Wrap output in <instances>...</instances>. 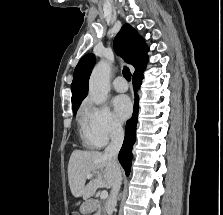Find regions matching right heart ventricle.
Instances as JSON below:
<instances>
[{"label":"right heart ventricle","instance_id":"e07e8e85","mask_svg":"<svg viewBox=\"0 0 223 215\" xmlns=\"http://www.w3.org/2000/svg\"><path fill=\"white\" fill-rule=\"evenodd\" d=\"M80 134H81L83 141L90 147H98L99 146V144L92 138V136L89 134V132L82 125V120H81Z\"/></svg>","mask_w":223,"mask_h":215}]
</instances>
